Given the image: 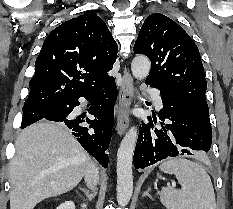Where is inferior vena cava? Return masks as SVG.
<instances>
[{
    "mask_svg": "<svg viewBox=\"0 0 233 209\" xmlns=\"http://www.w3.org/2000/svg\"><path fill=\"white\" fill-rule=\"evenodd\" d=\"M85 182L89 188L96 190L99 181V170L94 162L91 161L89 168L85 172Z\"/></svg>",
    "mask_w": 233,
    "mask_h": 209,
    "instance_id": "obj_1",
    "label": "inferior vena cava"
}]
</instances>
